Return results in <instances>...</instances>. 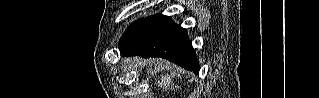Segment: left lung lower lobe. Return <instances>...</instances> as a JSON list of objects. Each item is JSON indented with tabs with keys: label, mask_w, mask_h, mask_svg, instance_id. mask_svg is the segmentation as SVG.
Masks as SVG:
<instances>
[{
	"label": "left lung lower lobe",
	"mask_w": 319,
	"mask_h": 98,
	"mask_svg": "<svg viewBox=\"0 0 319 98\" xmlns=\"http://www.w3.org/2000/svg\"><path fill=\"white\" fill-rule=\"evenodd\" d=\"M122 56L163 57L199 73L198 60L186 30L165 15L143 19L132 38L120 48Z\"/></svg>",
	"instance_id": "left-lung-lower-lobe-1"
}]
</instances>
